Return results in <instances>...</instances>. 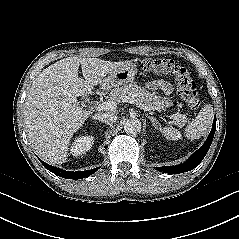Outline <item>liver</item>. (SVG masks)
<instances>
[{
	"mask_svg": "<svg viewBox=\"0 0 239 239\" xmlns=\"http://www.w3.org/2000/svg\"><path fill=\"white\" fill-rule=\"evenodd\" d=\"M124 62L67 57L45 68L33 81L24 106L27 137L35 153L50 164H62L70 140L87 120L77 97L91 94L94 86ZM79 66L84 79L78 76Z\"/></svg>",
	"mask_w": 239,
	"mask_h": 239,
	"instance_id": "6515ba94",
	"label": "liver"
}]
</instances>
